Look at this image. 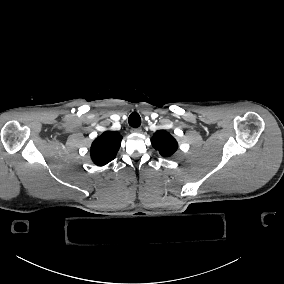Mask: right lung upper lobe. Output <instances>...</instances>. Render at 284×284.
Listing matches in <instances>:
<instances>
[{"mask_svg":"<svg viewBox=\"0 0 284 284\" xmlns=\"http://www.w3.org/2000/svg\"><path fill=\"white\" fill-rule=\"evenodd\" d=\"M122 136L115 131H106L97 137L91 146V159L97 166L112 161L121 145Z\"/></svg>","mask_w":284,"mask_h":284,"instance_id":"1","label":"right lung upper lobe"}]
</instances>
